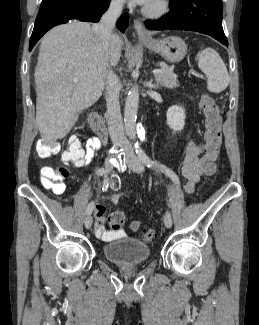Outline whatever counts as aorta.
<instances>
[{"label":"aorta","mask_w":259,"mask_h":325,"mask_svg":"<svg viewBox=\"0 0 259 325\" xmlns=\"http://www.w3.org/2000/svg\"><path fill=\"white\" fill-rule=\"evenodd\" d=\"M138 104H139V92L137 87H133L126 98L125 108H124V125L125 131L129 138H136V119L138 112Z\"/></svg>","instance_id":"aorta-1"}]
</instances>
